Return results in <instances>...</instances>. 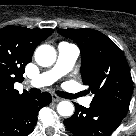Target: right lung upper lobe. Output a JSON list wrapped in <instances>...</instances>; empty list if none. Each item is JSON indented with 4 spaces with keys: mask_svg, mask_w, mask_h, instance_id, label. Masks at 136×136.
<instances>
[{
    "mask_svg": "<svg viewBox=\"0 0 136 136\" xmlns=\"http://www.w3.org/2000/svg\"><path fill=\"white\" fill-rule=\"evenodd\" d=\"M53 31L18 26L0 29V110L28 95L19 94L14 83L23 81L25 66L32 60L36 46Z\"/></svg>",
    "mask_w": 136,
    "mask_h": 136,
    "instance_id": "1",
    "label": "right lung upper lobe"
}]
</instances>
